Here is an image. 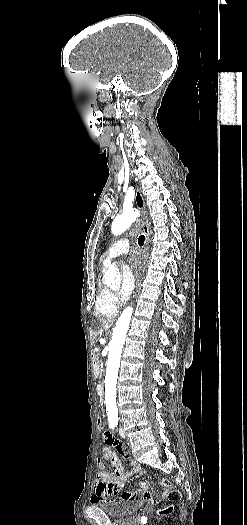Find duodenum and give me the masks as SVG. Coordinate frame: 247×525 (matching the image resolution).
<instances>
[{
    "label": "duodenum",
    "mask_w": 247,
    "mask_h": 525,
    "mask_svg": "<svg viewBox=\"0 0 247 525\" xmlns=\"http://www.w3.org/2000/svg\"><path fill=\"white\" fill-rule=\"evenodd\" d=\"M93 371H94L95 375H99L100 374V365H99V363L97 361L94 362ZM97 392H98V394H99V396L101 398H104V388H103V386L99 385L97 387Z\"/></svg>",
    "instance_id": "obj_1"
}]
</instances>
